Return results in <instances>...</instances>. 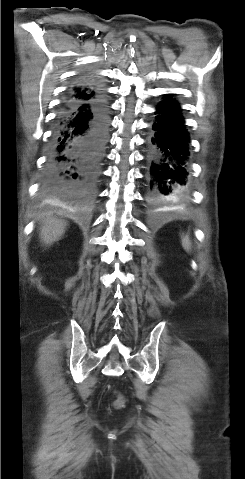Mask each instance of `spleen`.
I'll return each mask as SVG.
<instances>
[{"mask_svg":"<svg viewBox=\"0 0 245 479\" xmlns=\"http://www.w3.org/2000/svg\"><path fill=\"white\" fill-rule=\"evenodd\" d=\"M191 241L188 235L182 237V247L186 252L191 251Z\"/></svg>","mask_w":245,"mask_h":479,"instance_id":"3e777b00","label":"spleen"}]
</instances>
